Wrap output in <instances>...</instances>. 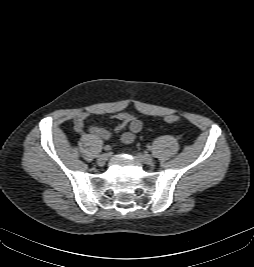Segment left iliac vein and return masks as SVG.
I'll list each match as a JSON object with an SVG mask.
<instances>
[{"label": "left iliac vein", "mask_w": 254, "mask_h": 267, "mask_svg": "<svg viewBox=\"0 0 254 267\" xmlns=\"http://www.w3.org/2000/svg\"><path fill=\"white\" fill-rule=\"evenodd\" d=\"M138 158L142 163L147 165H152L154 163V159L152 158V156L146 153H139Z\"/></svg>", "instance_id": "1"}]
</instances>
